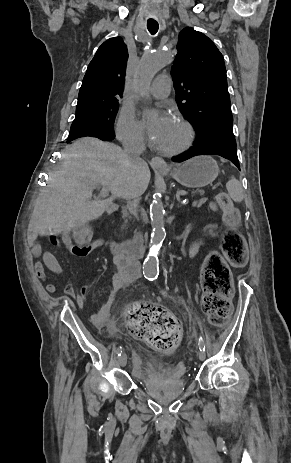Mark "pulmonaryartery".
Listing matches in <instances>:
<instances>
[{
    "mask_svg": "<svg viewBox=\"0 0 291 463\" xmlns=\"http://www.w3.org/2000/svg\"><path fill=\"white\" fill-rule=\"evenodd\" d=\"M172 81L169 75H159L152 83L148 93L156 99L166 98L171 91Z\"/></svg>",
    "mask_w": 291,
    "mask_h": 463,
    "instance_id": "obj_1",
    "label": "pulmonary artery"
}]
</instances>
